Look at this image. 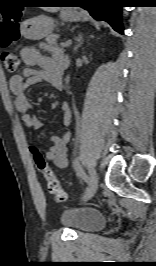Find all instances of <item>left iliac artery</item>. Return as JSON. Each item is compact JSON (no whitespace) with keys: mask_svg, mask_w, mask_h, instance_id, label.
Returning <instances> with one entry per match:
<instances>
[{"mask_svg":"<svg viewBox=\"0 0 156 266\" xmlns=\"http://www.w3.org/2000/svg\"><path fill=\"white\" fill-rule=\"evenodd\" d=\"M74 167H75V169H76V171H77V173L86 181V182H88V177L86 176V174L84 173V171L82 170V167H81V165H80V162H79V159L78 158H76L75 160H74ZM88 188H90V189H92L93 188V185H88Z\"/></svg>","mask_w":156,"mask_h":266,"instance_id":"44dca946","label":"left iliac artery"}]
</instances>
